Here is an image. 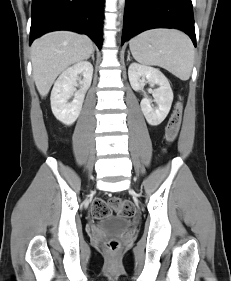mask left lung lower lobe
Instances as JSON below:
<instances>
[{"label": "left lung lower lobe", "mask_w": 231, "mask_h": 281, "mask_svg": "<svg viewBox=\"0 0 231 281\" xmlns=\"http://www.w3.org/2000/svg\"><path fill=\"white\" fill-rule=\"evenodd\" d=\"M154 28L180 29L196 46L191 0H126L122 44L127 38Z\"/></svg>", "instance_id": "left-lung-lower-lobe-1"}]
</instances>
